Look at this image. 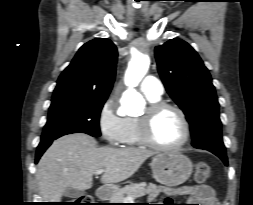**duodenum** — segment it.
Instances as JSON below:
<instances>
[{"label":"duodenum","mask_w":253,"mask_h":205,"mask_svg":"<svg viewBox=\"0 0 253 205\" xmlns=\"http://www.w3.org/2000/svg\"><path fill=\"white\" fill-rule=\"evenodd\" d=\"M96 196L100 200H105L110 196V190L106 187H99L96 191Z\"/></svg>","instance_id":"410a0bca"}]
</instances>
